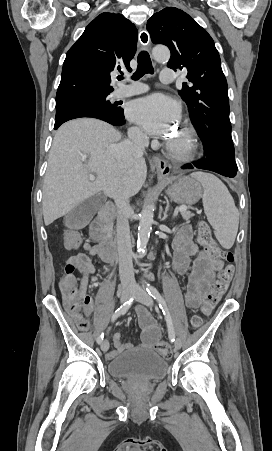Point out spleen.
Masks as SVG:
<instances>
[{"label":"spleen","mask_w":272,"mask_h":451,"mask_svg":"<svg viewBox=\"0 0 272 451\" xmlns=\"http://www.w3.org/2000/svg\"><path fill=\"white\" fill-rule=\"evenodd\" d=\"M191 178L203 186V206L207 220L214 227L216 239L225 249L232 247L239 226V212L223 182L205 172H193Z\"/></svg>","instance_id":"1"}]
</instances>
